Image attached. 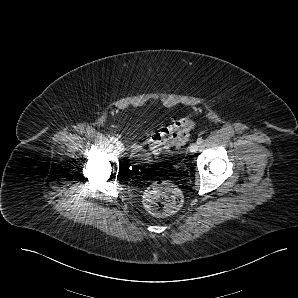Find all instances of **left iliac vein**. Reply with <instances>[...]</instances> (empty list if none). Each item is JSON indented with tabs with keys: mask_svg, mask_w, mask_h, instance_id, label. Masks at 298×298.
I'll use <instances>...</instances> for the list:
<instances>
[{
	"mask_svg": "<svg viewBox=\"0 0 298 298\" xmlns=\"http://www.w3.org/2000/svg\"><path fill=\"white\" fill-rule=\"evenodd\" d=\"M199 149V144L198 143H192L189 147V151L191 153H196Z\"/></svg>",
	"mask_w": 298,
	"mask_h": 298,
	"instance_id": "obj_1",
	"label": "left iliac vein"
}]
</instances>
